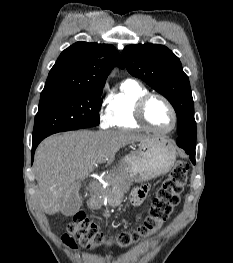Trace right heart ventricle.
I'll return each instance as SVG.
<instances>
[{"instance_id":"1","label":"right heart ventricle","mask_w":233,"mask_h":263,"mask_svg":"<svg viewBox=\"0 0 233 263\" xmlns=\"http://www.w3.org/2000/svg\"><path fill=\"white\" fill-rule=\"evenodd\" d=\"M149 93L141 83L128 79L121 85L120 92L109 103L111 127L114 128H141L135 119V107L138 100Z\"/></svg>"}]
</instances>
